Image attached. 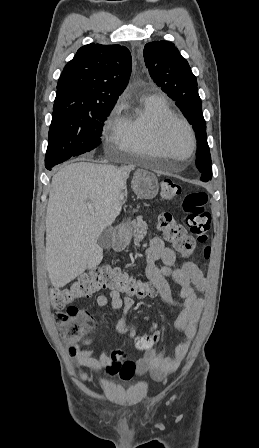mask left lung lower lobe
I'll use <instances>...</instances> for the list:
<instances>
[{"label": "left lung lower lobe", "instance_id": "0a47b994", "mask_svg": "<svg viewBox=\"0 0 259 448\" xmlns=\"http://www.w3.org/2000/svg\"><path fill=\"white\" fill-rule=\"evenodd\" d=\"M201 166H206L209 167L208 170H199L202 173V180L203 181H208L210 179V177L212 176V170H211V163H201Z\"/></svg>", "mask_w": 259, "mask_h": 448}]
</instances>
